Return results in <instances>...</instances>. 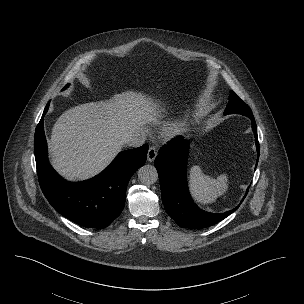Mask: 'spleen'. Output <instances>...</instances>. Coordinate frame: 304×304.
Masks as SVG:
<instances>
[{"instance_id": "obj_1", "label": "spleen", "mask_w": 304, "mask_h": 304, "mask_svg": "<svg viewBox=\"0 0 304 304\" xmlns=\"http://www.w3.org/2000/svg\"><path fill=\"white\" fill-rule=\"evenodd\" d=\"M189 187L194 200L202 205L210 204L228 190V177L221 174L216 179L202 173L198 166L189 171Z\"/></svg>"}]
</instances>
